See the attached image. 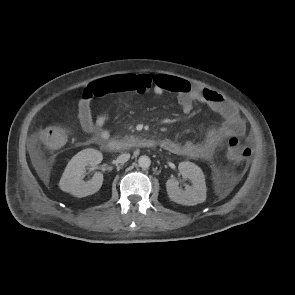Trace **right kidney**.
<instances>
[{"label":"right kidney","instance_id":"ca27d5eb","mask_svg":"<svg viewBox=\"0 0 295 295\" xmlns=\"http://www.w3.org/2000/svg\"><path fill=\"white\" fill-rule=\"evenodd\" d=\"M102 160V153L95 149H85L77 153L61 177L60 189L80 198L96 193L102 186L103 174L96 172L89 181H83L82 176L87 166L98 165Z\"/></svg>","mask_w":295,"mask_h":295}]
</instances>
